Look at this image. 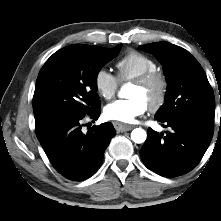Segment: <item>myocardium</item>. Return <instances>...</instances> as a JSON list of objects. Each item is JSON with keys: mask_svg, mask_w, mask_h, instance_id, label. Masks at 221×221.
<instances>
[{"mask_svg": "<svg viewBox=\"0 0 221 221\" xmlns=\"http://www.w3.org/2000/svg\"><path fill=\"white\" fill-rule=\"evenodd\" d=\"M131 82L139 87H149L151 85H155V95L148 103L147 107L151 112H156L163 106L168 91V79L162 71L154 70L147 72L133 79Z\"/></svg>", "mask_w": 221, "mask_h": 221, "instance_id": "f54148a6", "label": "myocardium"}]
</instances>
